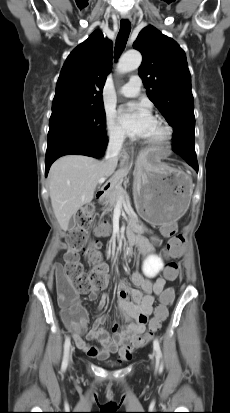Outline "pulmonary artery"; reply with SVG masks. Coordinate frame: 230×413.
Listing matches in <instances>:
<instances>
[{
    "label": "pulmonary artery",
    "mask_w": 230,
    "mask_h": 413,
    "mask_svg": "<svg viewBox=\"0 0 230 413\" xmlns=\"http://www.w3.org/2000/svg\"><path fill=\"white\" fill-rule=\"evenodd\" d=\"M141 85V78L138 76H133L120 88L119 94L125 97H135L139 94Z\"/></svg>",
    "instance_id": "1"
}]
</instances>
